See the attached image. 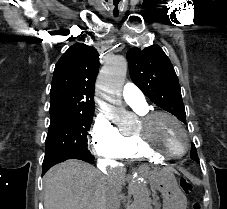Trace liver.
<instances>
[{
	"instance_id": "6515ba94",
	"label": "liver",
	"mask_w": 227,
	"mask_h": 209,
	"mask_svg": "<svg viewBox=\"0 0 227 209\" xmlns=\"http://www.w3.org/2000/svg\"><path fill=\"white\" fill-rule=\"evenodd\" d=\"M103 175L83 161H66L44 177V209H106L107 185L116 171Z\"/></svg>"
}]
</instances>
